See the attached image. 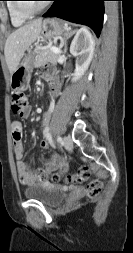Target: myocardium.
Here are the masks:
<instances>
[{"instance_id":"obj_1","label":"myocardium","mask_w":133,"mask_h":253,"mask_svg":"<svg viewBox=\"0 0 133 253\" xmlns=\"http://www.w3.org/2000/svg\"><path fill=\"white\" fill-rule=\"evenodd\" d=\"M15 2V8L18 11V13L23 16V17H33L39 13H41L46 7H47V2L43 3L41 6L31 9L25 5V3L21 2L23 0H16Z\"/></svg>"}]
</instances>
